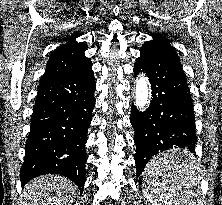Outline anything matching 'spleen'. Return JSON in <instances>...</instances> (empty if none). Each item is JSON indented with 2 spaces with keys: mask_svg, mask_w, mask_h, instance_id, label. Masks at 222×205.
Returning a JSON list of instances; mask_svg holds the SVG:
<instances>
[{
  "mask_svg": "<svg viewBox=\"0 0 222 205\" xmlns=\"http://www.w3.org/2000/svg\"><path fill=\"white\" fill-rule=\"evenodd\" d=\"M196 165L182 155L167 153L150 160L143 173L148 205H203Z\"/></svg>",
  "mask_w": 222,
  "mask_h": 205,
  "instance_id": "3e777b00",
  "label": "spleen"
}]
</instances>
